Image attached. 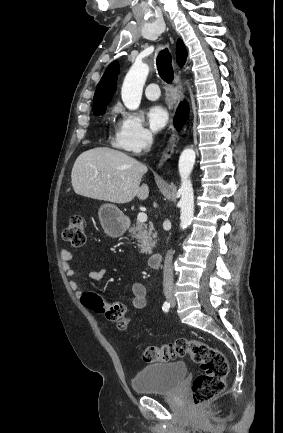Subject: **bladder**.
Returning <instances> with one entry per match:
<instances>
[{
  "label": "bladder",
  "instance_id": "obj_1",
  "mask_svg": "<svg viewBox=\"0 0 283 433\" xmlns=\"http://www.w3.org/2000/svg\"><path fill=\"white\" fill-rule=\"evenodd\" d=\"M186 375L184 362L159 363L145 366L135 374L131 386L136 393H163L176 391Z\"/></svg>",
  "mask_w": 283,
  "mask_h": 433
}]
</instances>
